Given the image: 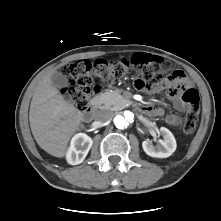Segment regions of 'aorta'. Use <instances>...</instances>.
Wrapping results in <instances>:
<instances>
[{"label":"aorta","instance_id":"762f6f07","mask_svg":"<svg viewBox=\"0 0 221 221\" xmlns=\"http://www.w3.org/2000/svg\"><path fill=\"white\" fill-rule=\"evenodd\" d=\"M135 119V115L132 111L126 110L122 114L117 115L114 118V123L118 129H124L129 124L133 123Z\"/></svg>","mask_w":221,"mask_h":221}]
</instances>
